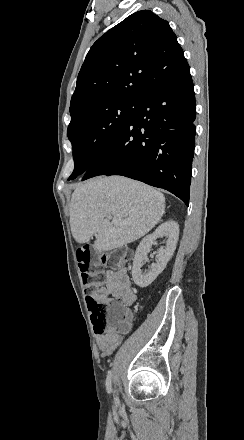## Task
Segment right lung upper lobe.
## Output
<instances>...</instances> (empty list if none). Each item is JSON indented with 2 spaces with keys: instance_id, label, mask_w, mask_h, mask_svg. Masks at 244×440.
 <instances>
[{
  "instance_id": "1",
  "label": "right lung upper lobe",
  "mask_w": 244,
  "mask_h": 440,
  "mask_svg": "<svg viewBox=\"0 0 244 440\" xmlns=\"http://www.w3.org/2000/svg\"><path fill=\"white\" fill-rule=\"evenodd\" d=\"M183 62L169 23L150 10L135 12L89 50L70 110L107 98H140L158 75Z\"/></svg>"
}]
</instances>
